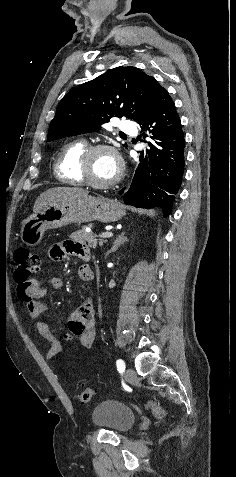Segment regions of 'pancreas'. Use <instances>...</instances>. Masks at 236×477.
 I'll list each match as a JSON object with an SVG mask.
<instances>
[{
	"label": "pancreas",
	"instance_id": "pancreas-1",
	"mask_svg": "<svg viewBox=\"0 0 236 477\" xmlns=\"http://www.w3.org/2000/svg\"><path fill=\"white\" fill-rule=\"evenodd\" d=\"M70 238L77 243L88 244V246L91 248H96L98 243L96 235L92 232H86L85 227H83L81 230L73 232ZM99 245H103V240H99Z\"/></svg>",
	"mask_w": 236,
	"mask_h": 477
}]
</instances>
